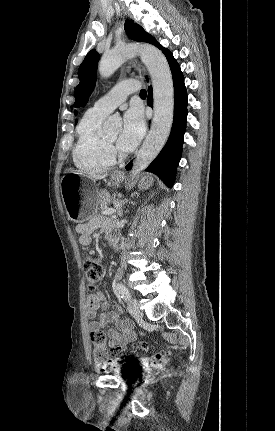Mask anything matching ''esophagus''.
Returning <instances> with one entry per match:
<instances>
[{"instance_id": "1", "label": "esophagus", "mask_w": 275, "mask_h": 431, "mask_svg": "<svg viewBox=\"0 0 275 431\" xmlns=\"http://www.w3.org/2000/svg\"><path fill=\"white\" fill-rule=\"evenodd\" d=\"M132 65L137 71H139V72L144 71L143 65L136 58L132 59Z\"/></svg>"}]
</instances>
